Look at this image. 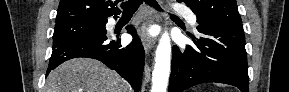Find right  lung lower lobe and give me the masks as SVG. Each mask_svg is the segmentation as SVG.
Instances as JSON below:
<instances>
[{
  "instance_id": "1",
  "label": "right lung lower lobe",
  "mask_w": 289,
  "mask_h": 92,
  "mask_svg": "<svg viewBox=\"0 0 289 92\" xmlns=\"http://www.w3.org/2000/svg\"><path fill=\"white\" fill-rule=\"evenodd\" d=\"M133 36L130 45L122 47L120 41H109L106 34L96 38H84L53 47L47 75L61 63L77 57H88L102 61L128 80L135 92L140 90L145 52L135 28L128 26ZM46 75V76H47Z\"/></svg>"
}]
</instances>
